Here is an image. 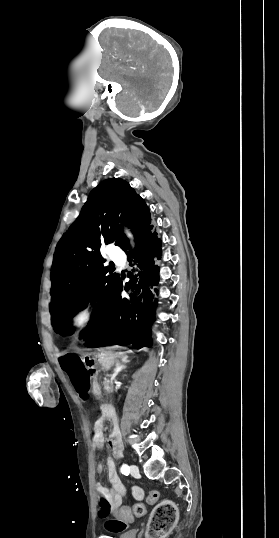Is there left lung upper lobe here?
I'll use <instances>...</instances> for the list:
<instances>
[{
	"label": "left lung upper lobe",
	"mask_w": 279,
	"mask_h": 538,
	"mask_svg": "<svg viewBox=\"0 0 279 538\" xmlns=\"http://www.w3.org/2000/svg\"><path fill=\"white\" fill-rule=\"evenodd\" d=\"M119 222L131 227L136 241L151 225L144 200L126 181L110 178L91 191L81 214L56 246L50 312L57 333L72 332L69 319L91 299L98 303L82 336L95 334L115 308L114 296L121 280L103 266L100 247L113 243L124 251L129 248Z\"/></svg>",
	"instance_id": "5c2ea615"
}]
</instances>
